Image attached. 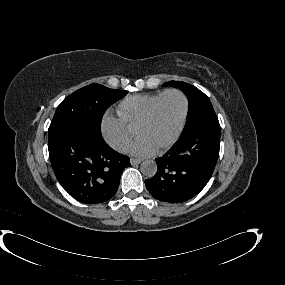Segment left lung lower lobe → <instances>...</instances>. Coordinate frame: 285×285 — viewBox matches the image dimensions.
<instances>
[{"label": "left lung lower lobe", "instance_id": "0a47b994", "mask_svg": "<svg viewBox=\"0 0 285 285\" xmlns=\"http://www.w3.org/2000/svg\"><path fill=\"white\" fill-rule=\"evenodd\" d=\"M219 147L217 116L200 120L183 132L163 157L156 159L157 173L145 180L146 188L163 202L177 203L193 198L210 180Z\"/></svg>", "mask_w": 285, "mask_h": 285}]
</instances>
